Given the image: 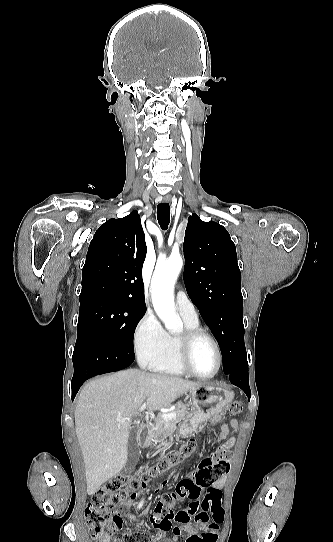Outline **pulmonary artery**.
Wrapping results in <instances>:
<instances>
[{"instance_id":"e3ab8cb5","label":"pulmonary artery","mask_w":333,"mask_h":542,"mask_svg":"<svg viewBox=\"0 0 333 542\" xmlns=\"http://www.w3.org/2000/svg\"><path fill=\"white\" fill-rule=\"evenodd\" d=\"M176 309L181 316L191 321H198L195 306L183 291L176 293Z\"/></svg>"}]
</instances>
